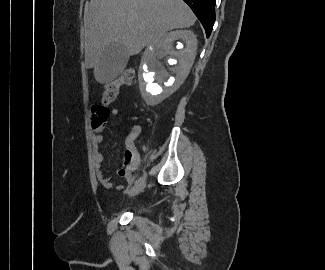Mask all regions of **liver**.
Here are the masks:
<instances>
[{
	"instance_id": "liver-1",
	"label": "liver",
	"mask_w": 325,
	"mask_h": 270,
	"mask_svg": "<svg viewBox=\"0 0 325 270\" xmlns=\"http://www.w3.org/2000/svg\"><path fill=\"white\" fill-rule=\"evenodd\" d=\"M196 16L182 0H90L84 11L85 63L98 83L111 80L97 73L103 51L122 44L128 55L160 42L173 29L189 28Z\"/></svg>"
}]
</instances>
